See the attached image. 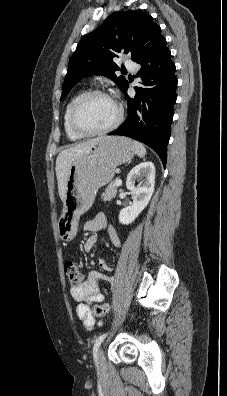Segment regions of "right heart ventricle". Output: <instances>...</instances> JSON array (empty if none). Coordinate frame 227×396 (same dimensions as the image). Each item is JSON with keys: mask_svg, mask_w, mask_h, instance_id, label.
Wrapping results in <instances>:
<instances>
[{"mask_svg": "<svg viewBox=\"0 0 227 396\" xmlns=\"http://www.w3.org/2000/svg\"><path fill=\"white\" fill-rule=\"evenodd\" d=\"M78 97V95L72 97L69 102L67 103L65 110H64V114H63V128L65 131L66 136L68 137L69 140L71 141H78L80 139H82L84 136L78 134L77 132H75L70 124V111H71V107L74 103V101L76 100V98Z\"/></svg>", "mask_w": 227, "mask_h": 396, "instance_id": "obj_1", "label": "right heart ventricle"}]
</instances>
